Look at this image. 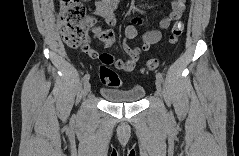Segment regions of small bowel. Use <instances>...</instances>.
Masks as SVG:
<instances>
[{
    "label": "small bowel",
    "instance_id": "small-bowel-1",
    "mask_svg": "<svg viewBox=\"0 0 239 156\" xmlns=\"http://www.w3.org/2000/svg\"><path fill=\"white\" fill-rule=\"evenodd\" d=\"M118 6V0H97L94 15L104 18L109 26H115L117 24L116 12ZM184 11L185 3L183 0L172 1L170 12L160 20L158 27L146 32H141L137 28V24L140 22L139 19L132 20V23L125 28L123 39V49L128 55L127 59H117L108 52L98 53L91 46L90 51L83 52L92 59H98L103 65L114 66L118 70L131 72L138 63L141 53L146 52L152 44L159 42L162 36V30L169 28L172 22L179 20ZM90 25L92 26L95 37L102 41L106 47L114 43V34L110 29L97 25L95 18L90 19ZM132 41L140 42L141 46H130L129 42Z\"/></svg>",
    "mask_w": 239,
    "mask_h": 156
}]
</instances>
